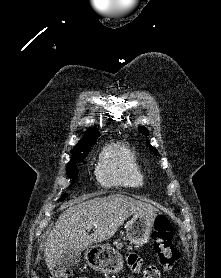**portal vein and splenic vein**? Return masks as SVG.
I'll list each match as a JSON object with an SVG mask.
<instances>
[{"label": "portal vein and splenic vein", "mask_w": 221, "mask_h": 278, "mask_svg": "<svg viewBox=\"0 0 221 278\" xmlns=\"http://www.w3.org/2000/svg\"><path fill=\"white\" fill-rule=\"evenodd\" d=\"M93 227V225L91 224V225H88L87 226V229H91Z\"/></svg>", "instance_id": "1"}]
</instances>
